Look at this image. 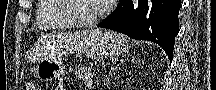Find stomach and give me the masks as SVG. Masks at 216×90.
I'll return each mask as SVG.
<instances>
[{
    "mask_svg": "<svg viewBox=\"0 0 216 90\" xmlns=\"http://www.w3.org/2000/svg\"><path fill=\"white\" fill-rule=\"evenodd\" d=\"M87 50L92 58L114 57L126 52L128 44L121 34L105 32ZM36 75L42 81H53L65 75V66L60 59H46L38 64Z\"/></svg>",
    "mask_w": 216,
    "mask_h": 90,
    "instance_id": "stomach-1",
    "label": "stomach"
}]
</instances>
